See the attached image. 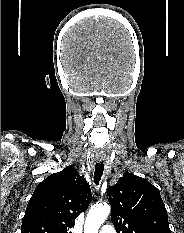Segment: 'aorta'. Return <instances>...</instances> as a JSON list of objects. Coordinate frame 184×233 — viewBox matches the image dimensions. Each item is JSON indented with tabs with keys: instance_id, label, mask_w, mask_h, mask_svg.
Returning <instances> with one entry per match:
<instances>
[{
	"instance_id": "aorta-1",
	"label": "aorta",
	"mask_w": 184,
	"mask_h": 233,
	"mask_svg": "<svg viewBox=\"0 0 184 233\" xmlns=\"http://www.w3.org/2000/svg\"><path fill=\"white\" fill-rule=\"evenodd\" d=\"M110 213V206L107 203L98 204L89 211L85 225L84 233H98L99 228L105 222Z\"/></svg>"
}]
</instances>
